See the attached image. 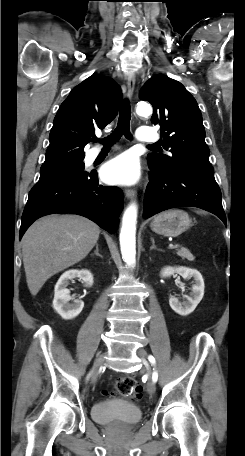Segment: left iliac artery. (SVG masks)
Masks as SVG:
<instances>
[{
	"instance_id": "1",
	"label": "left iliac artery",
	"mask_w": 245,
	"mask_h": 456,
	"mask_svg": "<svg viewBox=\"0 0 245 456\" xmlns=\"http://www.w3.org/2000/svg\"><path fill=\"white\" fill-rule=\"evenodd\" d=\"M148 360L150 361V363H151L153 366H155L156 361H155V358H154L152 355H149ZM153 370H154V371H153V373H152V380H153V382H156L157 379H158V373H157V371L155 370V368H153Z\"/></svg>"
}]
</instances>
